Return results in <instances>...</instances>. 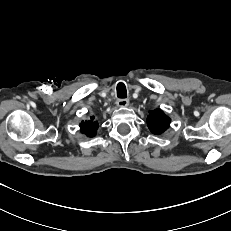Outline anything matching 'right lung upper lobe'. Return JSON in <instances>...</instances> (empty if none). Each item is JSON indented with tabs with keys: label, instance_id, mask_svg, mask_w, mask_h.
Instances as JSON below:
<instances>
[{
	"label": "right lung upper lobe",
	"instance_id": "cb5924a9",
	"mask_svg": "<svg viewBox=\"0 0 231 231\" xmlns=\"http://www.w3.org/2000/svg\"><path fill=\"white\" fill-rule=\"evenodd\" d=\"M95 117H90V120L82 121L80 123L81 132L88 137H93L96 135V130L98 129V123L94 120Z\"/></svg>",
	"mask_w": 231,
	"mask_h": 231
}]
</instances>
